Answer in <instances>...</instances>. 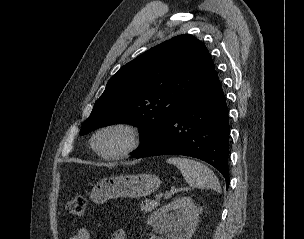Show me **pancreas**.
I'll return each mask as SVG.
<instances>
[{
    "label": "pancreas",
    "instance_id": "obj_1",
    "mask_svg": "<svg viewBox=\"0 0 304 239\" xmlns=\"http://www.w3.org/2000/svg\"><path fill=\"white\" fill-rule=\"evenodd\" d=\"M159 203L157 201H146L145 204L140 205L141 211L145 213L152 212L156 207H158Z\"/></svg>",
    "mask_w": 304,
    "mask_h": 239
}]
</instances>
